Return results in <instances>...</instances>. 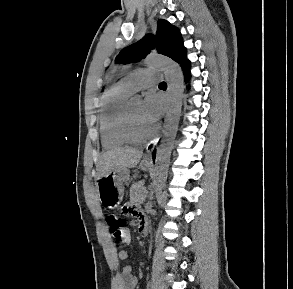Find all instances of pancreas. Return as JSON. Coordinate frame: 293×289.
I'll list each match as a JSON object with an SVG mask.
<instances>
[{"instance_id":"obj_1","label":"pancreas","mask_w":293,"mask_h":289,"mask_svg":"<svg viewBox=\"0 0 293 289\" xmlns=\"http://www.w3.org/2000/svg\"><path fill=\"white\" fill-rule=\"evenodd\" d=\"M143 182L135 183L130 188V198L133 201L143 200L146 197V190Z\"/></svg>"}]
</instances>
